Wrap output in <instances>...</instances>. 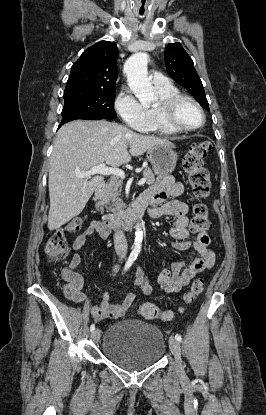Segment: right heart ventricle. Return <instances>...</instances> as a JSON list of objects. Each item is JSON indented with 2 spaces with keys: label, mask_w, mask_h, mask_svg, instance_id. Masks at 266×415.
Here are the masks:
<instances>
[{
  "label": "right heart ventricle",
  "mask_w": 266,
  "mask_h": 415,
  "mask_svg": "<svg viewBox=\"0 0 266 415\" xmlns=\"http://www.w3.org/2000/svg\"><path fill=\"white\" fill-rule=\"evenodd\" d=\"M155 89L159 95V99H162L172 94L179 93V90L170 82L163 85H155ZM148 115L149 119L146 127L144 128L145 130L155 132L161 135H172L177 133V131L170 128L163 121L157 108V103L148 108Z\"/></svg>",
  "instance_id": "right-heart-ventricle-1"
}]
</instances>
